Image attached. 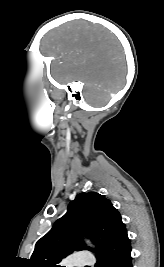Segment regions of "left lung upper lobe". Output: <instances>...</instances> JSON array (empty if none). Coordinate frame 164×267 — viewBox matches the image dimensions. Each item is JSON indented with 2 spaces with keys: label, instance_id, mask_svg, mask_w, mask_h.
I'll return each mask as SVG.
<instances>
[{
  "label": "left lung upper lobe",
  "instance_id": "left-lung-upper-lobe-1",
  "mask_svg": "<svg viewBox=\"0 0 164 267\" xmlns=\"http://www.w3.org/2000/svg\"><path fill=\"white\" fill-rule=\"evenodd\" d=\"M121 225L120 213L104 195L80 193L51 230L37 241L29 265L60 267L57 264L73 251L87 249L81 235L90 238L99 251Z\"/></svg>",
  "mask_w": 164,
  "mask_h": 267
}]
</instances>
